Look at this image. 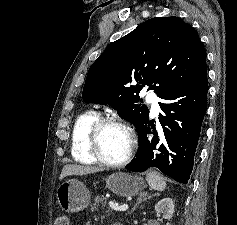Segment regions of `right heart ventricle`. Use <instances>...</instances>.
Returning <instances> with one entry per match:
<instances>
[{"label": "right heart ventricle", "instance_id": "1", "mask_svg": "<svg viewBox=\"0 0 237 225\" xmlns=\"http://www.w3.org/2000/svg\"><path fill=\"white\" fill-rule=\"evenodd\" d=\"M99 118V113L92 109L83 112L76 118L71 139V154L75 161L84 164L96 162L88 149V133Z\"/></svg>", "mask_w": 237, "mask_h": 225}]
</instances>
